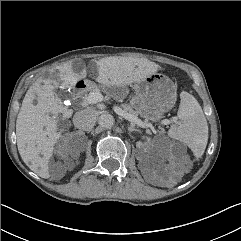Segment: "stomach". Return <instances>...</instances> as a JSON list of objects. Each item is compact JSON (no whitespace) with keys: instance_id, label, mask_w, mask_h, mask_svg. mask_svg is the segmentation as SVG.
Returning <instances> with one entry per match:
<instances>
[{"instance_id":"stomach-1","label":"stomach","mask_w":241,"mask_h":241,"mask_svg":"<svg viewBox=\"0 0 241 241\" xmlns=\"http://www.w3.org/2000/svg\"><path fill=\"white\" fill-rule=\"evenodd\" d=\"M108 92L119 97L122 87L106 86ZM134 93L130 96V106L136 114L147 121L158 122L170 111L177 100V88L174 82L164 74L155 73L147 76L133 86Z\"/></svg>"}]
</instances>
